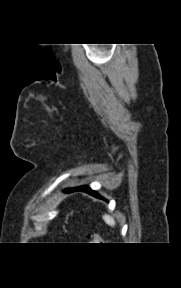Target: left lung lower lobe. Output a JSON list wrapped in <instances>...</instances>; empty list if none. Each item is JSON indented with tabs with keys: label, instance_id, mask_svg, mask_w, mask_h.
<instances>
[{
	"label": "left lung lower lobe",
	"instance_id": "left-lung-lower-lobe-1",
	"mask_svg": "<svg viewBox=\"0 0 181 288\" xmlns=\"http://www.w3.org/2000/svg\"><path fill=\"white\" fill-rule=\"evenodd\" d=\"M74 191H83V192H86V193H88V194H90L92 196H95L97 198L104 199L99 194H97L95 191L91 190V188L88 187V186H80V187H77V188H72V189L66 190V192H74Z\"/></svg>",
	"mask_w": 181,
	"mask_h": 288
}]
</instances>
